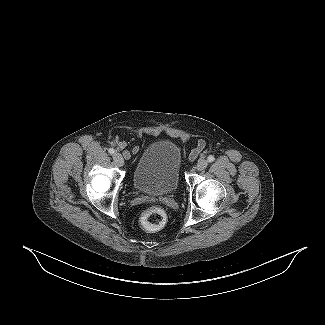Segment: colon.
<instances>
[{"label":"colon","mask_w":325,"mask_h":325,"mask_svg":"<svg viewBox=\"0 0 325 325\" xmlns=\"http://www.w3.org/2000/svg\"><path fill=\"white\" fill-rule=\"evenodd\" d=\"M166 213L160 207H151L142 216V225L145 229L154 231L166 223Z\"/></svg>","instance_id":"colon-1"}]
</instances>
